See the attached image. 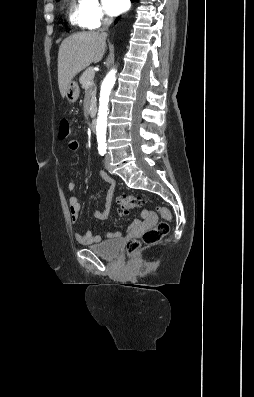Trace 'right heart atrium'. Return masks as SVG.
<instances>
[{
    "label": "right heart atrium",
    "instance_id": "right-heart-atrium-1",
    "mask_svg": "<svg viewBox=\"0 0 254 397\" xmlns=\"http://www.w3.org/2000/svg\"><path fill=\"white\" fill-rule=\"evenodd\" d=\"M78 15L84 28L95 29L109 20L98 0H79Z\"/></svg>",
    "mask_w": 254,
    "mask_h": 397
}]
</instances>
